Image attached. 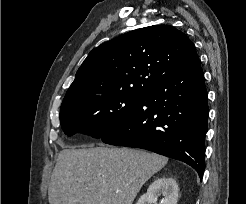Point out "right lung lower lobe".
Returning <instances> with one entry per match:
<instances>
[{"instance_id":"98d812e1","label":"right lung lower lobe","mask_w":246,"mask_h":204,"mask_svg":"<svg viewBox=\"0 0 246 204\" xmlns=\"http://www.w3.org/2000/svg\"><path fill=\"white\" fill-rule=\"evenodd\" d=\"M208 113L207 90L198 59L143 92L125 122L101 140L183 161L202 178Z\"/></svg>"}]
</instances>
